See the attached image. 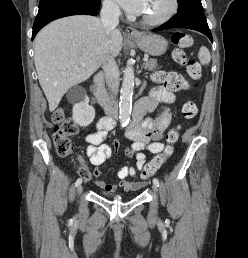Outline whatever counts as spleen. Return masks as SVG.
<instances>
[{
    "label": "spleen",
    "mask_w": 248,
    "mask_h": 258,
    "mask_svg": "<svg viewBox=\"0 0 248 258\" xmlns=\"http://www.w3.org/2000/svg\"><path fill=\"white\" fill-rule=\"evenodd\" d=\"M198 58L200 60V63L202 65H208L211 61V55L209 50L205 47L202 46L198 52Z\"/></svg>",
    "instance_id": "3e777b00"
}]
</instances>
